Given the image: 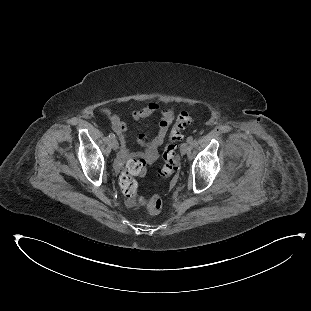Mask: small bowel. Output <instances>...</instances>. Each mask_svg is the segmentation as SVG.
I'll return each mask as SVG.
<instances>
[{
    "mask_svg": "<svg viewBox=\"0 0 311 311\" xmlns=\"http://www.w3.org/2000/svg\"><path fill=\"white\" fill-rule=\"evenodd\" d=\"M157 113L160 114V119L156 135L152 139H148L144 134H140L138 136V143L143 147V150L138 152L136 156L144 159L148 163H152L157 159L158 150L163 144L169 127L174 119V112L169 108L161 109L158 103L152 102L148 105L135 109L131 114L133 120L139 121L145 117ZM112 125L121 144L119 155L120 160L122 162H126L131 157L127 144L126 123L122 119L115 117Z\"/></svg>",
    "mask_w": 311,
    "mask_h": 311,
    "instance_id": "obj_1",
    "label": "small bowel"
}]
</instances>
